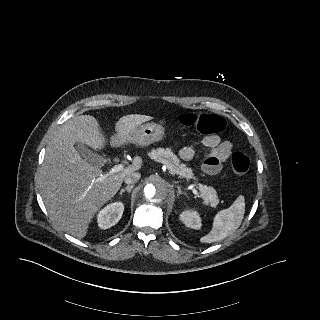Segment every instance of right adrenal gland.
Here are the masks:
<instances>
[{"instance_id": "2a0ac1e0", "label": "right adrenal gland", "mask_w": 320, "mask_h": 320, "mask_svg": "<svg viewBox=\"0 0 320 320\" xmlns=\"http://www.w3.org/2000/svg\"><path fill=\"white\" fill-rule=\"evenodd\" d=\"M133 187H134V185L132 184V185H128L125 188L121 189L120 190V195H122L125 191H129L130 192Z\"/></svg>"}]
</instances>
